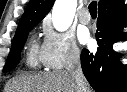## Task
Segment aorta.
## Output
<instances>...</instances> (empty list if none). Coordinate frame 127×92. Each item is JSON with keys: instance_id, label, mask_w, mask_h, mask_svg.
<instances>
[{"instance_id": "aorta-1", "label": "aorta", "mask_w": 127, "mask_h": 92, "mask_svg": "<svg viewBox=\"0 0 127 92\" xmlns=\"http://www.w3.org/2000/svg\"><path fill=\"white\" fill-rule=\"evenodd\" d=\"M77 0H56L52 9V23L57 31H66L72 24Z\"/></svg>"}]
</instances>
